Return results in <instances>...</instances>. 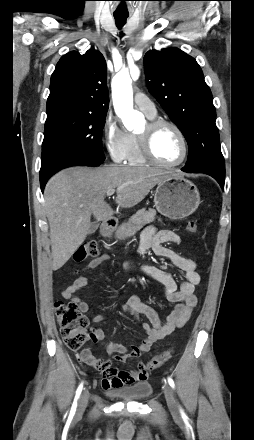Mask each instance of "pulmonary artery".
Masks as SVG:
<instances>
[{
  "mask_svg": "<svg viewBox=\"0 0 254 440\" xmlns=\"http://www.w3.org/2000/svg\"><path fill=\"white\" fill-rule=\"evenodd\" d=\"M134 103L138 109L143 111L147 116H155L157 113L155 104L143 93H136Z\"/></svg>",
  "mask_w": 254,
  "mask_h": 440,
  "instance_id": "e3ab8cb5",
  "label": "pulmonary artery"
}]
</instances>
